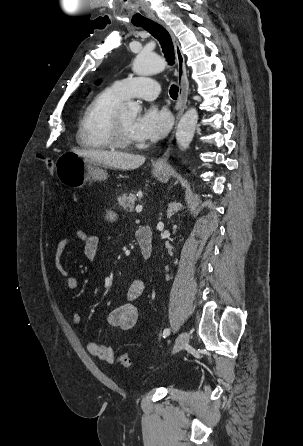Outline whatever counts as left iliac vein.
<instances>
[{
    "mask_svg": "<svg viewBox=\"0 0 303 446\" xmlns=\"http://www.w3.org/2000/svg\"><path fill=\"white\" fill-rule=\"evenodd\" d=\"M188 342H189V333L182 332L176 339L172 353H177L182 349H184V347L188 344Z\"/></svg>",
    "mask_w": 303,
    "mask_h": 446,
    "instance_id": "4c4485c4",
    "label": "left iliac vein"
}]
</instances>
